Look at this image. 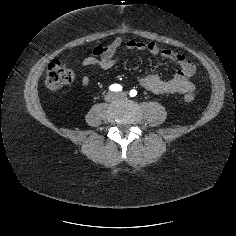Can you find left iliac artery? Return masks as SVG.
<instances>
[{
  "instance_id": "44dca946",
  "label": "left iliac artery",
  "mask_w": 236,
  "mask_h": 236,
  "mask_svg": "<svg viewBox=\"0 0 236 236\" xmlns=\"http://www.w3.org/2000/svg\"><path fill=\"white\" fill-rule=\"evenodd\" d=\"M130 97H135L137 95V91L135 89H132L129 93Z\"/></svg>"
}]
</instances>
